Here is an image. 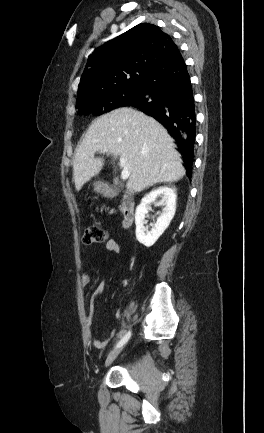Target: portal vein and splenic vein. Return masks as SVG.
<instances>
[{
    "label": "portal vein and splenic vein",
    "mask_w": 264,
    "mask_h": 433,
    "mask_svg": "<svg viewBox=\"0 0 264 433\" xmlns=\"http://www.w3.org/2000/svg\"><path fill=\"white\" fill-rule=\"evenodd\" d=\"M101 153L106 152V149H102L100 150ZM120 167L122 168V172H121V179L122 180H127L130 176V167L127 163V158L126 157H120V163H119Z\"/></svg>",
    "instance_id": "portal-vein-and-splenic-vein-1"
}]
</instances>
